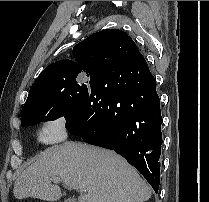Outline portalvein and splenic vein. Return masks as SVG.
<instances>
[{"instance_id": "portal-vein-and-splenic-vein-1", "label": "portal vein and splenic vein", "mask_w": 209, "mask_h": 202, "mask_svg": "<svg viewBox=\"0 0 209 202\" xmlns=\"http://www.w3.org/2000/svg\"><path fill=\"white\" fill-rule=\"evenodd\" d=\"M52 181H53L54 183H59V182H60V179H58V178H53Z\"/></svg>"}]
</instances>
